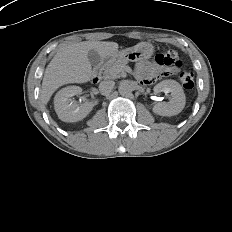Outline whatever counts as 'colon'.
<instances>
[{
    "label": "colon",
    "mask_w": 232,
    "mask_h": 232,
    "mask_svg": "<svg viewBox=\"0 0 232 232\" xmlns=\"http://www.w3.org/2000/svg\"><path fill=\"white\" fill-rule=\"evenodd\" d=\"M155 62L157 65L164 67H173L180 69L182 66V59L179 53L175 50H166L156 55ZM180 81L184 88L192 89L194 87V77L191 72L183 71L180 73Z\"/></svg>",
    "instance_id": "obj_1"
}]
</instances>
